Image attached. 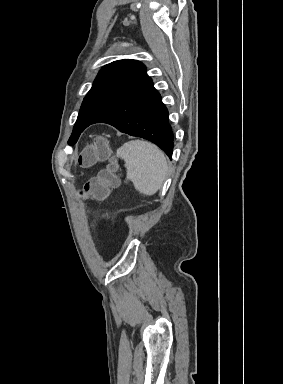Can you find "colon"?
I'll use <instances>...</instances> for the list:
<instances>
[{
  "label": "colon",
  "mask_w": 283,
  "mask_h": 384,
  "mask_svg": "<svg viewBox=\"0 0 283 384\" xmlns=\"http://www.w3.org/2000/svg\"><path fill=\"white\" fill-rule=\"evenodd\" d=\"M111 153L112 150L108 141L101 135L96 136L93 143L79 156V164L89 166L95 162L109 159ZM116 170V165L111 164L110 167L100 172L98 176L89 179L80 192L81 196L95 200L105 199L109 195L110 190L119 184Z\"/></svg>",
  "instance_id": "colon-1"
}]
</instances>
